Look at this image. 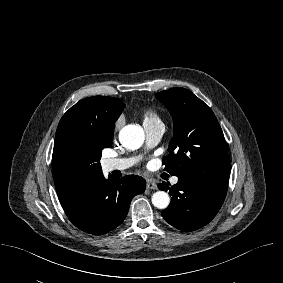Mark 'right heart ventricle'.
Masks as SVG:
<instances>
[{
    "label": "right heart ventricle",
    "mask_w": 283,
    "mask_h": 283,
    "mask_svg": "<svg viewBox=\"0 0 283 283\" xmlns=\"http://www.w3.org/2000/svg\"><path fill=\"white\" fill-rule=\"evenodd\" d=\"M161 122L156 111L152 109L145 110L143 113V123Z\"/></svg>",
    "instance_id": "e07e8e85"
}]
</instances>
